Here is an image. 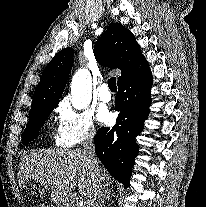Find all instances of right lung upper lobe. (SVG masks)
<instances>
[{
    "instance_id": "cb5924a9",
    "label": "right lung upper lobe",
    "mask_w": 206,
    "mask_h": 207,
    "mask_svg": "<svg viewBox=\"0 0 206 207\" xmlns=\"http://www.w3.org/2000/svg\"><path fill=\"white\" fill-rule=\"evenodd\" d=\"M96 60L105 67L118 68V81L132 73L145 59L134 35L122 24L111 23L94 46ZM74 50L58 52L45 68L33 95L30 112L47 104H58L73 65Z\"/></svg>"
}]
</instances>
